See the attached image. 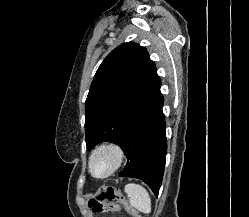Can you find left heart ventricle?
<instances>
[{
    "label": "left heart ventricle",
    "instance_id": "obj_1",
    "mask_svg": "<svg viewBox=\"0 0 249 217\" xmlns=\"http://www.w3.org/2000/svg\"><path fill=\"white\" fill-rule=\"evenodd\" d=\"M111 162V159L108 155H100L96 158L94 162V170L98 173L107 169Z\"/></svg>",
    "mask_w": 249,
    "mask_h": 217
}]
</instances>
